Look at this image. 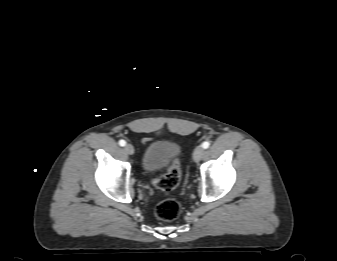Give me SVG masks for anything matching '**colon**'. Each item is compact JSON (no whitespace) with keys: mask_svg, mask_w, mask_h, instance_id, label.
Wrapping results in <instances>:
<instances>
[{"mask_svg":"<svg viewBox=\"0 0 337 261\" xmlns=\"http://www.w3.org/2000/svg\"><path fill=\"white\" fill-rule=\"evenodd\" d=\"M181 179V167L178 159L172 161L166 173L153 180V185L163 191H171L178 187ZM180 205L177 201L168 199L160 202L155 210L156 216L164 221H172L180 214Z\"/></svg>","mask_w":337,"mask_h":261,"instance_id":"5ec220e1","label":"colon"}]
</instances>
